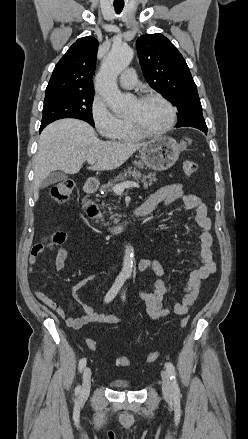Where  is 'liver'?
<instances>
[{
    "label": "liver",
    "instance_id": "obj_1",
    "mask_svg": "<svg viewBox=\"0 0 248 439\" xmlns=\"http://www.w3.org/2000/svg\"><path fill=\"white\" fill-rule=\"evenodd\" d=\"M145 143L102 141L95 130L78 119H61L41 133L35 156L33 194L39 198L42 181L57 170L77 173L87 160H95L94 171L113 170L126 162Z\"/></svg>",
    "mask_w": 248,
    "mask_h": 439
}]
</instances>
